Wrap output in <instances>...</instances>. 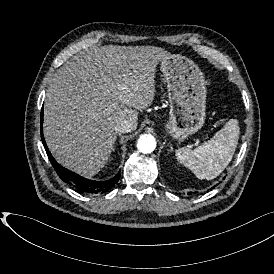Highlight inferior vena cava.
Wrapping results in <instances>:
<instances>
[{
  "label": "inferior vena cava",
  "instance_id": "1",
  "mask_svg": "<svg viewBox=\"0 0 274 274\" xmlns=\"http://www.w3.org/2000/svg\"><path fill=\"white\" fill-rule=\"evenodd\" d=\"M137 126V121L136 120H131V119H123V120H118L114 124V130L116 133H127L131 132L134 130Z\"/></svg>",
  "mask_w": 274,
  "mask_h": 274
}]
</instances>
